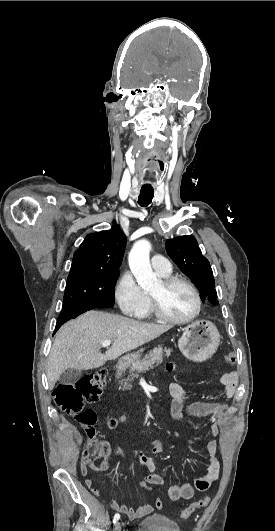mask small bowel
<instances>
[{
  "label": "small bowel",
  "instance_id": "obj_1",
  "mask_svg": "<svg viewBox=\"0 0 275 531\" xmlns=\"http://www.w3.org/2000/svg\"><path fill=\"white\" fill-rule=\"evenodd\" d=\"M172 367V366H171ZM223 385V396L225 398H232L238 386V373L236 371L223 373L219 378ZM170 393L172 401L170 404V414L177 421H184L188 418H204L210 417L209 433L211 439L206 443L207 453V470L206 473L196 479L193 484L172 485L168 488L167 493L171 500H189L194 496L195 491H206L217 480L220 472V461L218 457V442L216 437L219 434V419H221L226 406L217 402H194L186 409L184 405L187 403L189 395L185 388L178 382H173L170 385ZM151 450L153 453H162L164 446L162 441L155 439L151 443ZM114 455L118 459H122L123 453L120 448H115ZM138 464L141 470L145 473V478H151L152 483H157L158 486L163 484V478L156 472V465L153 458L146 452L140 451L138 453ZM101 471L98 469H93ZM103 470V469H102ZM93 495L99 496L100 489L95 485L94 488H89ZM108 507L123 514L130 520L139 519L149 515L153 511L150 504H144L137 508H128L126 505L112 500L108 503Z\"/></svg>",
  "mask_w": 275,
  "mask_h": 531
}]
</instances>
